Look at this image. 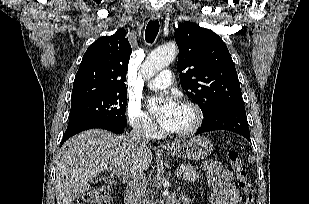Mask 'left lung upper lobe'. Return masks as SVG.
Here are the masks:
<instances>
[{
    "label": "left lung upper lobe",
    "instance_id": "obj_1",
    "mask_svg": "<svg viewBox=\"0 0 309 204\" xmlns=\"http://www.w3.org/2000/svg\"><path fill=\"white\" fill-rule=\"evenodd\" d=\"M181 86L208 116L220 107L243 104L231 55L213 31L184 22L175 31Z\"/></svg>",
    "mask_w": 309,
    "mask_h": 204
}]
</instances>
